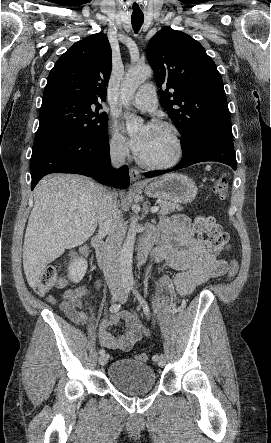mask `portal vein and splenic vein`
<instances>
[{
  "label": "portal vein and splenic vein",
  "mask_w": 271,
  "mask_h": 443,
  "mask_svg": "<svg viewBox=\"0 0 271 443\" xmlns=\"http://www.w3.org/2000/svg\"><path fill=\"white\" fill-rule=\"evenodd\" d=\"M152 214H155V212H159L158 206H154V208H151Z\"/></svg>",
  "instance_id": "1"
}]
</instances>
